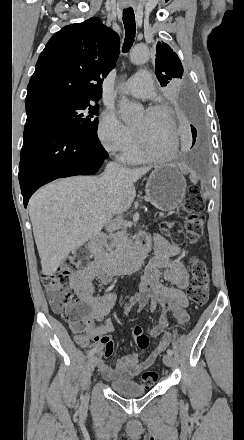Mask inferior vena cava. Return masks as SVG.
<instances>
[{
    "label": "inferior vena cava",
    "mask_w": 244,
    "mask_h": 440,
    "mask_svg": "<svg viewBox=\"0 0 244 440\" xmlns=\"http://www.w3.org/2000/svg\"><path fill=\"white\" fill-rule=\"evenodd\" d=\"M126 170L127 168H121L120 164H116V162H109L106 166V170L103 172L102 182H112L113 178H116L119 172H126ZM105 226L108 232H113L114 228L111 218H106Z\"/></svg>",
    "instance_id": "obj_1"
}]
</instances>
